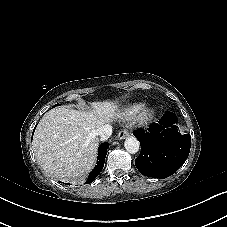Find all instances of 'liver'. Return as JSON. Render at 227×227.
Segmentation results:
<instances>
[{"instance_id":"6515ba94","label":"liver","mask_w":227,"mask_h":227,"mask_svg":"<svg viewBox=\"0 0 227 227\" xmlns=\"http://www.w3.org/2000/svg\"><path fill=\"white\" fill-rule=\"evenodd\" d=\"M92 110L65 106L44 114L36 127L33 150L39 165L58 179L77 180L94 167L98 139L96 129L119 115L116 102H94Z\"/></svg>"}]
</instances>
